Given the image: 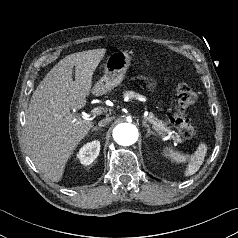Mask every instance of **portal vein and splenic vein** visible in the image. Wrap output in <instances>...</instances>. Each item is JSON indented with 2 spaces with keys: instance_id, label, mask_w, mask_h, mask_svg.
<instances>
[{
  "instance_id": "18ae733b",
  "label": "portal vein and splenic vein",
  "mask_w": 238,
  "mask_h": 238,
  "mask_svg": "<svg viewBox=\"0 0 238 238\" xmlns=\"http://www.w3.org/2000/svg\"><path fill=\"white\" fill-rule=\"evenodd\" d=\"M102 110H103L102 108H94V109L91 110L90 114H85V115L83 116V118H84V119H89V117H90L91 115L94 116V115L101 114V113H102ZM148 121L153 125V127H155V122H154L153 120L148 119Z\"/></svg>"
}]
</instances>
